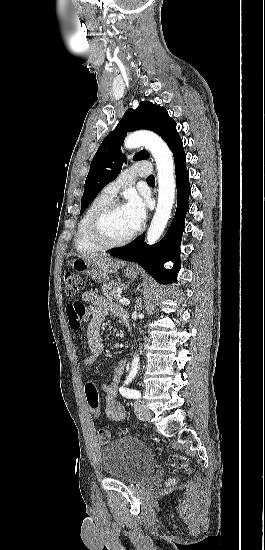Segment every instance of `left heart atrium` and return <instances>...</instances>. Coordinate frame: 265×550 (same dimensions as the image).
<instances>
[{
  "label": "left heart atrium",
  "instance_id": "1",
  "mask_svg": "<svg viewBox=\"0 0 265 550\" xmlns=\"http://www.w3.org/2000/svg\"><path fill=\"white\" fill-rule=\"evenodd\" d=\"M124 208L129 216L133 230L139 229L146 217L144 201L139 196L132 194L129 196Z\"/></svg>",
  "mask_w": 265,
  "mask_h": 550
}]
</instances>
